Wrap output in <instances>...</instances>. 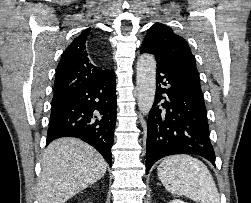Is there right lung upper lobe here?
I'll use <instances>...</instances> for the list:
<instances>
[{
  "instance_id": "right-lung-upper-lobe-1",
  "label": "right lung upper lobe",
  "mask_w": 251,
  "mask_h": 203,
  "mask_svg": "<svg viewBox=\"0 0 251 203\" xmlns=\"http://www.w3.org/2000/svg\"><path fill=\"white\" fill-rule=\"evenodd\" d=\"M91 28H88L74 39L63 53L57 66L52 101L62 99L84 84L99 80L111 71L96 67L87 53V41Z\"/></svg>"
}]
</instances>
